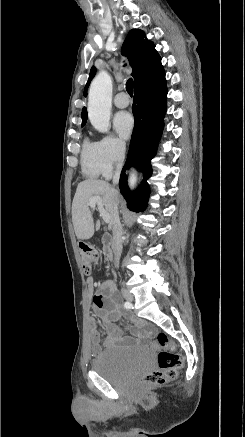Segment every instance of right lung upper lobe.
Wrapping results in <instances>:
<instances>
[{"mask_svg":"<svg viewBox=\"0 0 245 437\" xmlns=\"http://www.w3.org/2000/svg\"><path fill=\"white\" fill-rule=\"evenodd\" d=\"M122 54L126 55L132 67V76L135 81V89L151 85L165 77L161 64V58L155 50V44L148 41L145 33L140 29H132L122 46ZM96 73L93 66L87 84L84 89V96H87L88 86ZM82 125L87 121V110L82 109Z\"/></svg>","mask_w":245,"mask_h":437,"instance_id":"obj_1","label":"right lung upper lobe"}]
</instances>
